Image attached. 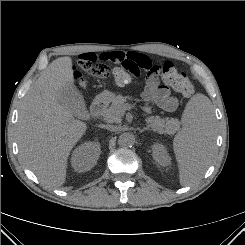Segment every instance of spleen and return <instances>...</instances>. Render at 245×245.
<instances>
[{
	"instance_id": "3e777b00",
	"label": "spleen",
	"mask_w": 245,
	"mask_h": 245,
	"mask_svg": "<svg viewBox=\"0 0 245 245\" xmlns=\"http://www.w3.org/2000/svg\"><path fill=\"white\" fill-rule=\"evenodd\" d=\"M183 127L173 142L179 166L180 183L191 185L201 178L210 165L215 143L214 112L210 99L194 95L182 115Z\"/></svg>"
}]
</instances>
